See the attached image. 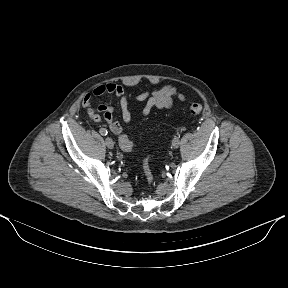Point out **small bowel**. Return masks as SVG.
<instances>
[{
    "instance_id": "obj_1",
    "label": "small bowel",
    "mask_w": 288,
    "mask_h": 288,
    "mask_svg": "<svg viewBox=\"0 0 288 288\" xmlns=\"http://www.w3.org/2000/svg\"><path fill=\"white\" fill-rule=\"evenodd\" d=\"M104 94H112L117 98L122 120L125 123H130L133 119L129 109V101L131 99L138 102H145L141 111L143 117H147L154 108L159 110L169 109L176 101H183L185 99L184 94L174 84L164 85L152 92L145 91L138 94H129L126 92L123 85L109 82L97 86L91 93L86 94L82 100V106L89 113L92 111L90 108L91 98L101 97ZM96 112L103 114L113 134L117 135L119 138L126 136L123 127L114 118L115 109L112 106L100 105Z\"/></svg>"
}]
</instances>
